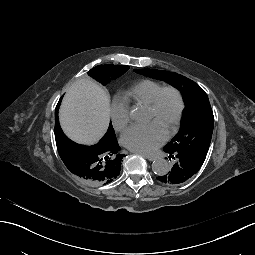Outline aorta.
Wrapping results in <instances>:
<instances>
[{
    "label": "aorta",
    "mask_w": 255,
    "mask_h": 255,
    "mask_svg": "<svg viewBox=\"0 0 255 255\" xmlns=\"http://www.w3.org/2000/svg\"><path fill=\"white\" fill-rule=\"evenodd\" d=\"M130 117L135 121H141L145 118V114L142 109L135 108L130 112ZM152 171L158 176L166 174L169 171L167 160L163 158L155 159L152 163Z\"/></svg>",
    "instance_id": "obj_1"
}]
</instances>
